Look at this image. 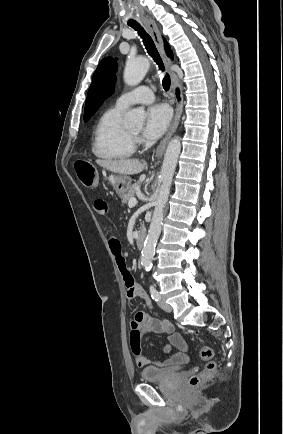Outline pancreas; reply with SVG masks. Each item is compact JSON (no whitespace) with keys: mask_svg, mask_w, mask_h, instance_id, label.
<instances>
[{"mask_svg":"<svg viewBox=\"0 0 283 434\" xmlns=\"http://www.w3.org/2000/svg\"><path fill=\"white\" fill-rule=\"evenodd\" d=\"M136 186H137V184L132 185V186L130 187L128 193H127L124 197H122V202H123V204L129 202V200H130L131 198H134V194H135Z\"/></svg>","mask_w":283,"mask_h":434,"instance_id":"1","label":"pancreas"}]
</instances>
